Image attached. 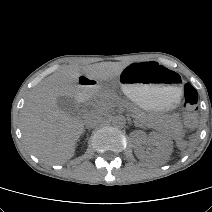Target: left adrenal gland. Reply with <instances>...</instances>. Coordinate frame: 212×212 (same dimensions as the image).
Returning <instances> with one entry per match:
<instances>
[{"label":"left adrenal gland","instance_id":"a2214340","mask_svg":"<svg viewBox=\"0 0 212 212\" xmlns=\"http://www.w3.org/2000/svg\"><path fill=\"white\" fill-rule=\"evenodd\" d=\"M134 125H135L136 127H139V124H138V123H136V122H135V124H134Z\"/></svg>","mask_w":212,"mask_h":212}]
</instances>
